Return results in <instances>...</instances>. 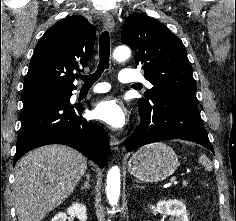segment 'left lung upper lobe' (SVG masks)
<instances>
[{
    "label": "left lung upper lobe",
    "mask_w": 236,
    "mask_h": 221,
    "mask_svg": "<svg viewBox=\"0 0 236 221\" xmlns=\"http://www.w3.org/2000/svg\"><path fill=\"white\" fill-rule=\"evenodd\" d=\"M122 41L135 50L136 65L154 86L145 92L138 106L148 105L162 94L196 97L192 66L182 41L158 20L135 13L128 17Z\"/></svg>",
    "instance_id": "5c2ea615"
}]
</instances>
